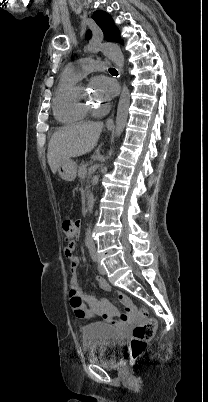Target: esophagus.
<instances>
[{"label": "esophagus", "instance_id": "obj_1", "mask_svg": "<svg viewBox=\"0 0 208 402\" xmlns=\"http://www.w3.org/2000/svg\"><path fill=\"white\" fill-rule=\"evenodd\" d=\"M106 125L112 126V127L114 126L113 116H111V117L107 120Z\"/></svg>", "mask_w": 208, "mask_h": 402}]
</instances>
